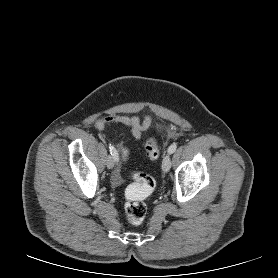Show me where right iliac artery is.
I'll list each match as a JSON object with an SVG mask.
<instances>
[{"instance_id":"right-iliac-artery-1","label":"right iliac artery","mask_w":278,"mask_h":278,"mask_svg":"<svg viewBox=\"0 0 278 278\" xmlns=\"http://www.w3.org/2000/svg\"><path fill=\"white\" fill-rule=\"evenodd\" d=\"M109 149H110L111 155H112L113 158H114V161H117V162H118L119 157H118V153H117L116 149H115L111 144L109 145Z\"/></svg>"}]
</instances>
